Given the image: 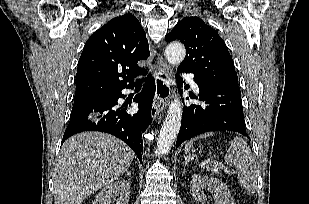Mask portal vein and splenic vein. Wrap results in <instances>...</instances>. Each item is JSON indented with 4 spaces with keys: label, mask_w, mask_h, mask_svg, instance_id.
I'll return each mask as SVG.
<instances>
[{
    "label": "portal vein and splenic vein",
    "mask_w": 309,
    "mask_h": 204,
    "mask_svg": "<svg viewBox=\"0 0 309 204\" xmlns=\"http://www.w3.org/2000/svg\"><path fill=\"white\" fill-rule=\"evenodd\" d=\"M209 162H213V165H214L216 168H222L221 165H219L217 162L212 161V160H210V159L207 160V161H205V162H202L201 165L204 166L205 164H208Z\"/></svg>",
    "instance_id": "1"
}]
</instances>
